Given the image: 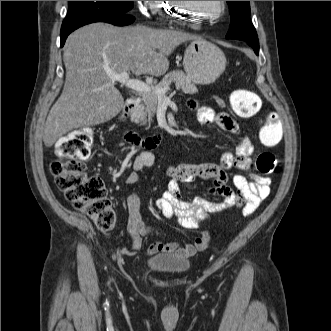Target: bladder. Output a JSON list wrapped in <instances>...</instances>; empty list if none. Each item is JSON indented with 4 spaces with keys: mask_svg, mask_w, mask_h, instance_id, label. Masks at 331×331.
<instances>
[{
    "mask_svg": "<svg viewBox=\"0 0 331 331\" xmlns=\"http://www.w3.org/2000/svg\"><path fill=\"white\" fill-rule=\"evenodd\" d=\"M146 266L155 273L182 274L190 267V261L174 254L159 253L148 258Z\"/></svg>",
    "mask_w": 331,
    "mask_h": 331,
    "instance_id": "bladder-1",
    "label": "bladder"
}]
</instances>
